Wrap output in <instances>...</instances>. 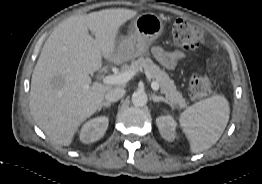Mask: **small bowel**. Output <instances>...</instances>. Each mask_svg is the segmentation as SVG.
I'll use <instances>...</instances> for the list:
<instances>
[{
  "label": "small bowel",
  "mask_w": 262,
  "mask_h": 184,
  "mask_svg": "<svg viewBox=\"0 0 262 184\" xmlns=\"http://www.w3.org/2000/svg\"><path fill=\"white\" fill-rule=\"evenodd\" d=\"M152 53L156 60L166 69H174L186 59V54L183 51L166 52L158 46L152 48Z\"/></svg>",
  "instance_id": "1"
}]
</instances>
